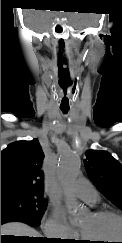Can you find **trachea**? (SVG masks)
I'll return each instance as SVG.
<instances>
[{
    "instance_id": "3493384b",
    "label": "trachea",
    "mask_w": 122,
    "mask_h": 243,
    "mask_svg": "<svg viewBox=\"0 0 122 243\" xmlns=\"http://www.w3.org/2000/svg\"><path fill=\"white\" fill-rule=\"evenodd\" d=\"M68 110H69V108H61V111H62L64 114L68 113Z\"/></svg>"
}]
</instances>
